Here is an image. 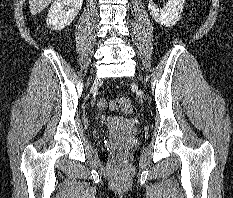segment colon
<instances>
[{
    "mask_svg": "<svg viewBox=\"0 0 233 198\" xmlns=\"http://www.w3.org/2000/svg\"><path fill=\"white\" fill-rule=\"evenodd\" d=\"M97 105L102 110H117L125 114H131L134 111L133 105L127 97H120L110 101L105 98H101L98 100Z\"/></svg>",
    "mask_w": 233,
    "mask_h": 198,
    "instance_id": "colon-1",
    "label": "colon"
}]
</instances>
